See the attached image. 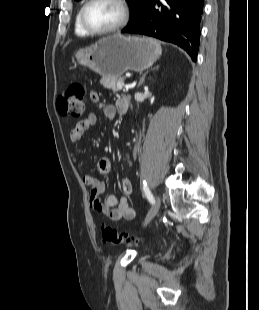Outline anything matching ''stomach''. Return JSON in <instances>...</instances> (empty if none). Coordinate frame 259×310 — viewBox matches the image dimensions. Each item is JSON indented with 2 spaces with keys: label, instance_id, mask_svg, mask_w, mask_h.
<instances>
[{
  "label": "stomach",
  "instance_id": "stomach-1",
  "mask_svg": "<svg viewBox=\"0 0 259 310\" xmlns=\"http://www.w3.org/2000/svg\"><path fill=\"white\" fill-rule=\"evenodd\" d=\"M160 55L159 44L151 38L114 34L79 49L75 57L80 65L103 77H121L128 70L142 72L148 69Z\"/></svg>",
  "mask_w": 259,
  "mask_h": 310
}]
</instances>
